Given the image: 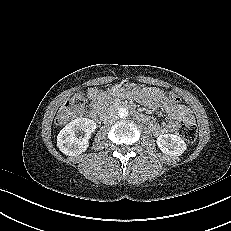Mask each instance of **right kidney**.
Returning <instances> with one entry per match:
<instances>
[{
    "label": "right kidney",
    "instance_id": "1",
    "mask_svg": "<svg viewBox=\"0 0 231 231\" xmlns=\"http://www.w3.org/2000/svg\"><path fill=\"white\" fill-rule=\"evenodd\" d=\"M96 129V123L89 118H77L68 123L57 136L59 150L68 156H76L86 151L89 139ZM79 131L84 137L77 138Z\"/></svg>",
    "mask_w": 231,
    "mask_h": 231
}]
</instances>
